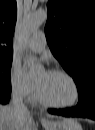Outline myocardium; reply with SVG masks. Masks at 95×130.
I'll return each instance as SVG.
<instances>
[{
	"mask_svg": "<svg viewBox=\"0 0 95 130\" xmlns=\"http://www.w3.org/2000/svg\"><path fill=\"white\" fill-rule=\"evenodd\" d=\"M49 73H54V74H61L63 76H65L73 85L74 87V90H75V98L74 100L71 102V103H68V104H58V103H54V102H51L49 100H47L41 90H40V87L39 85L37 84V98L38 100L46 105V106H49V107H53V108H71V107H74L75 105H77V103L79 102L80 100V88H79V85L78 83L76 82V80L74 79V77L69 74L67 71L63 70V69H60V68H54V69H51L49 71Z\"/></svg>",
	"mask_w": 95,
	"mask_h": 130,
	"instance_id": "1",
	"label": "myocardium"
}]
</instances>
